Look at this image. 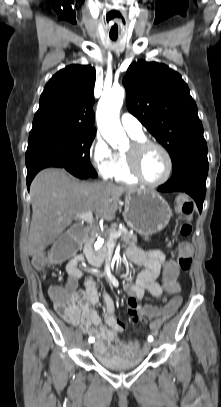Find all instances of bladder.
Returning a JSON list of instances; mask_svg holds the SVG:
<instances>
[{"mask_svg": "<svg viewBox=\"0 0 221 407\" xmlns=\"http://www.w3.org/2000/svg\"><path fill=\"white\" fill-rule=\"evenodd\" d=\"M95 359L102 367L113 371L133 369L140 366L143 362L142 354L135 358L127 359L119 356H108L96 353Z\"/></svg>", "mask_w": 221, "mask_h": 407, "instance_id": "1", "label": "bladder"}]
</instances>
